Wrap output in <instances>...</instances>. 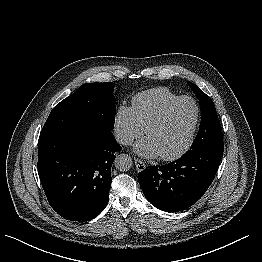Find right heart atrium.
Instances as JSON below:
<instances>
[{"mask_svg": "<svg viewBox=\"0 0 262 262\" xmlns=\"http://www.w3.org/2000/svg\"><path fill=\"white\" fill-rule=\"evenodd\" d=\"M113 131L119 143L129 145L141 137L145 129L138 122L131 107L120 105L114 115Z\"/></svg>", "mask_w": 262, "mask_h": 262, "instance_id": "1", "label": "right heart atrium"}]
</instances>
